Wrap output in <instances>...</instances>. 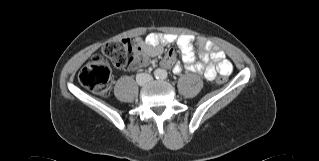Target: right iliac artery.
Listing matches in <instances>:
<instances>
[{"label":"right iliac artery","mask_w":319,"mask_h":161,"mask_svg":"<svg viewBox=\"0 0 319 161\" xmlns=\"http://www.w3.org/2000/svg\"><path fill=\"white\" fill-rule=\"evenodd\" d=\"M155 77L158 79L161 75V73L159 71H155L154 72Z\"/></svg>","instance_id":"82829eb1"}]
</instances>
